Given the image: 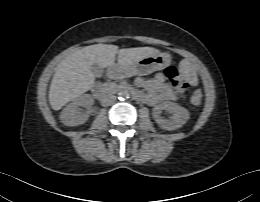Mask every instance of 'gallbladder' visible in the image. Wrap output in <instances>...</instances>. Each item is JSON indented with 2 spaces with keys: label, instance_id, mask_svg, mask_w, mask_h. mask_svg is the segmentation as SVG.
Returning <instances> with one entry per match:
<instances>
[{
  "label": "gallbladder",
  "instance_id": "gallbladder-1",
  "mask_svg": "<svg viewBox=\"0 0 260 202\" xmlns=\"http://www.w3.org/2000/svg\"><path fill=\"white\" fill-rule=\"evenodd\" d=\"M91 71L95 77H101L103 74V69L96 63L91 66Z\"/></svg>",
  "mask_w": 260,
  "mask_h": 202
}]
</instances>
